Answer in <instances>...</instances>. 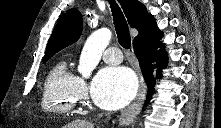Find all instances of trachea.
<instances>
[{"instance_id":"trachea-1","label":"trachea","mask_w":221,"mask_h":128,"mask_svg":"<svg viewBox=\"0 0 221 128\" xmlns=\"http://www.w3.org/2000/svg\"><path fill=\"white\" fill-rule=\"evenodd\" d=\"M110 5L113 13V20L119 44L123 48L129 49L131 46V37L127 21L115 1L111 0Z\"/></svg>"}]
</instances>
